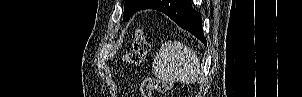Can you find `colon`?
<instances>
[{
    "label": "colon",
    "instance_id": "obj_1",
    "mask_svg": "<svg viewBox=\"0 0 302 97\" xmlns=\"http://www.w3.org/2000/svg\"><path fill=\"white\" fill-rule=\"evenodd\" d=\"M148 50V42L143 33L138 30L131 49L124 55V61L128 64H139L145 59ZM169 88L170 84L168 82L155 77H149L142 83V95L144 97H150L153 92H165Z\"/></svg>",
    "mask_w": 302,
    "mask_h": 97
}]
</instances>
